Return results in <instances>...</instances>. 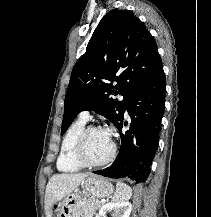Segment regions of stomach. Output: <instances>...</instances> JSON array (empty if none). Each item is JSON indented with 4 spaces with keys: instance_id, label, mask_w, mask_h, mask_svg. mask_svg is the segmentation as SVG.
<instances>
[{
    "instance_id": "stomach-1",
    "label": "stomach",
    "mask_w": 211,
    "mask_h": 217,
    "mask_svg": "<svg viewBox=\"0 0 211 217\" xmlns=\"http://www.w3.org/2000/svg\"><path fill=\"white\" fill-rule=\"evenodd\" d=\"M83 192L92 198H105L113 193V185L105 178L89 175L82 181ZM81 191L76 189L59 204L55 217H81Z\"/></svg>"
}]
</instances>
